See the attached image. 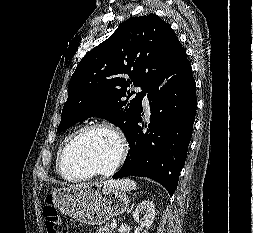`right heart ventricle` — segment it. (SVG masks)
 Segmentation results:
<instances>
[{
  "label": "right heart ventricle",
  "mask_w": 253,
  "mask_h": 233,
  "mask_svg": "<svg viewBox=\"0 0 253 233\" xmlns=\"http://www.w3.org/2000/svg\"><path fill=\"white\" fill-rule=\"evenodd\" d=\"M69 137H70V136H69ZM69 137H67V138L62 142V144L59 146V148H58V150H57V154H56V169H57V172H58V173H59V170H58L59 155H60V152H61V150H62V148H63L65 142L68 140Z\"/></svg>",
  "instance_id": "1"
}]
</instances>
